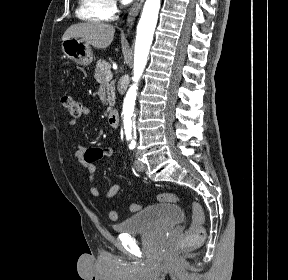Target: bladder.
Here are the masks:
<instances>
[{
	"label": "bladder",
	"instance_id": "1",
	"mask_svg": "<svg viewBox=\"0 0 288 280\" xmlns=\"http://www.w3.org/2000/svg\"><path fill=\"white\" fill-rule=\"evenodd\" d=\"M183 210L174 204H154L128 217L113 226V229L122 234L165 230L182 222Z\"/></svg>",
	"mask_w": 288,
	"mask_h": 280
}]
</instances>
